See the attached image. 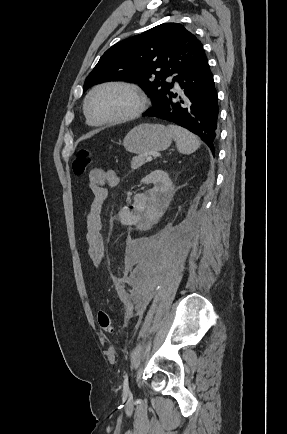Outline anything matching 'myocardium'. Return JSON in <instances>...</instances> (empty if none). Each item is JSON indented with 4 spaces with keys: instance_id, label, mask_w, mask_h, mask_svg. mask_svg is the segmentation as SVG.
I'll use <instances>...</instances> for the list:
<instances>
[{
    "instance_id": "obj_1",
    "label": "myocardium",
    "mask_w": 287,
    "mask_h": 434,
    "mask_svg": "<svg viewBox=\"0 0 287 434\" xmlns=\"http://www.w3.org/2000/svg\"><path fill=\"white\" fill-rule=\"evenodd\" d=\"M109 86H117V87H122V88L129 90L137 98V105L133 109V111H131L129 114H127L125 116H122L119 118H114V119H102V120L96 119L92 116V114L89 110L90 100H91V98L95 92H97L98 90H100L102 88L109 87ZM147 106H148V98L140 86H138L137 84H134L132 82H127V81H122V80H108V81H104L102 83L95 85L88 92V94L85 98L83 107H84V113H85V115H86V117L90 123H92L94 125H116V124L126 123V122H129V121H132V120L138 118L140 115H142L145 112V110L147 109Z\"/></svg>"
}]
</instances>
